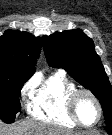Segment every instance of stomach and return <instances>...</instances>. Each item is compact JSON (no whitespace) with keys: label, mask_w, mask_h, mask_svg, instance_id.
<instances>
[{"label":"stomach","mask_w":112,"mask_h":135,"mask_svg":"<svg viewBox=\"0 0 112 135\" xmlns=\"http://www.w3.org/2000/svg\"><path fill=\"white\" fill-rule=\"evenodd\" d=\"M79 135H93V134H91V133H88V134H79Z\"/></svg>","instance_id":"0dacf381"}]
</instances>
